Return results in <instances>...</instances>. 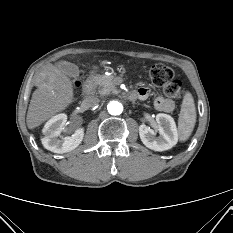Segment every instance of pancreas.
<instances>
[{
  "label": "pancreas",
  "mask_w": 233,
  "mask_h": 233,
  "mask_svg": "<svg viewBox=\"0 0 233 233\" xmlns=\"http://www.w3.org/2000/svg\"><path fill=\"white\" fill-rule=\"evenodd\" d=\"M94 90L101 95H108L116 91L114 76L95 75L91 78Z\"/></svg>",
  "instance_id": "1"
}]
</instances>
